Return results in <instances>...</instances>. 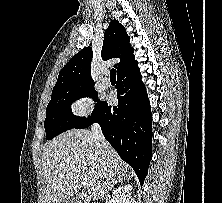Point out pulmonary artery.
<instances>
[{
  "mask_svg": "<svg viewBox=\"0 0 222 203\" xmlns=\"http://www.w3.org/2000/svg\"><path fill=\"white\" fill-rule=\"evenodd\" d=\"M102 86L104 88H109L111 86L110 78L108 77V74L102 79Z\"/></svg>",
  "mask_w": 222,
  "mask_h": 203,
  "instance_id": "1",
  "label": "pulmonary artery"
}]
</instances>
